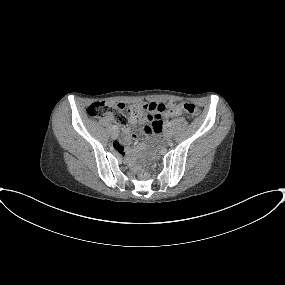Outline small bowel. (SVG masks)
<instances>
[{"mask_svg":"<svg viewBox=\"0 0 285 285\" xmlns=\"http://www.w3.org/2000/svg\"><path fill=\"white\" fill-rule=\"evenodd\" d=\"M143 104L148 108L147 114L131 117L130 125L124 128L125 137L114 145L115 150L122 156L126 155L128 145L138 138V133L134 131L135 126L143 124V133L149 137L153 132L160 130L163 125L162 116L165 113L166 106L163 103L156 102H146Z\"/></svg>","mask_w":285,"mask_h":285,"instance_id":"c3829d8e","label":"small bowel"}]
</instances>
